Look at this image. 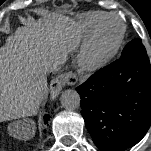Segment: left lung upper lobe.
Returning <instances> with one entry per match:
<instances>
[{"mask_svg": "<svg viewBox=\"0 0 151 151\" xmlns=\"http://www.w3.org/2000/svg\"><path fill=\"white\" fill-rule=\"evenodd\" d=\"M146 52L142 41L139 38H136L130 41L123 49L121 58L130 56L135 53Z\"/></svg>", "mask_w": 151, "mask_h": 151, "instance_id": "left-lung-upper-lobe-1", "label": "left lung upper lobe"}]
</instances>
